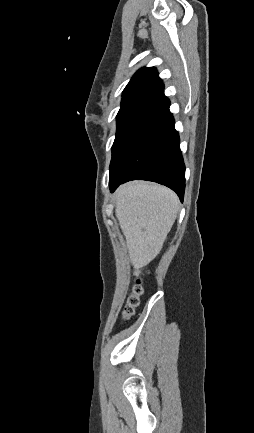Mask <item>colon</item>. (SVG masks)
<instances>
[{
  "mask_svg": "<svg viewBox=\"0 0 254 433\" xmlns=\"http://www.w3.org/2000/svg\"><path fill=\"white\" fill-rule=\"evenodd\" d=\"M142 291L143 288L141 284L138 282L134 286L133 291L127 300V304L122 314L124 319H128L133 314L135 307L139 303V296L142 294Z\"/></svg>",
  "mask_w": 254,
  "mask_h": 433,
  "instance_id": "1",
  "label": "colon"
}]
</instances>
